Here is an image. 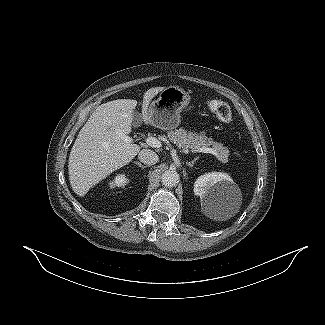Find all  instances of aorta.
<instances>
[{"label":"aorta","mask_w":325,"mask_h":325,"mask_svg":"<svg viewBox=\"0 0 325 325\" xmlns=\"http://www.w3.org/2000/svg\"><path fill=\"white\" fill-rule=\"evenodd\" d=\"M179 174L175 170H167L161 176V182L166 187H173L179 182Z\"/></svg>","instance_id":"obj_1"}]
</instances>
